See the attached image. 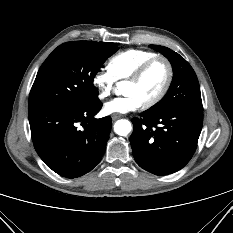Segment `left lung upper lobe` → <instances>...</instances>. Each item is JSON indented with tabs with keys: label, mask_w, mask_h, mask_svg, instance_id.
Instances as JSON below:
<instances>
[{
	"label": "left lung upper lobe",
	"mask_w": 233,
	"mask_h": 233,
	"mask_svg": "<svg viewBox=\"0 0 233 233\" xmlns=\"http://www.w3.org/2000/svg\"><path fill=\"white\" fill-rule=\"evenodd\" d=\"M170 61L173 68V80L164 98L147 112L157 114L176 107L203 108L199 82L190 64L178 53L159 45H150Z\"/></svg>",
	"instance_id": "5c2ea615"
}]
</instances>
